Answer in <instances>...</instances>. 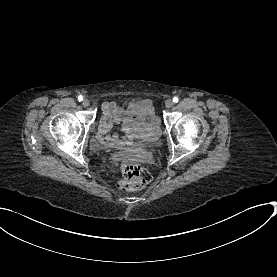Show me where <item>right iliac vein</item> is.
I'll return each mask as SVG.
<instances>
[{"mask_svg": "<svg viewBox=\"0 0 277 277\" xmlns=\"http://www.w3.org/2000/svg\"><path fill=\"white\" fill-rule=\"evenodd\" d=\"M89 104H90V102H89L88 99H84L83 102H82V105H83L84 107L89 106Z\"/></svg>", "mask_w": 277, "mask_h": 277, "instance_id": "63e3f726", "label": "right iliac vein"}]
</instances>
